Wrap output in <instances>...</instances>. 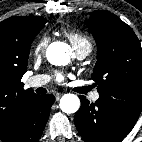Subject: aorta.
Masks as SVG:
<instances>
[{"mask_svg":"<svg viewBox=\"0 0 142 142\" xmlns=\"http://www.w3.org/2000/svg\"><path fill=\"white\" fill-rule=\"evenodd\" d=\"M46 56L53 65H66L71 58V48L66 43L55 42L48 47ZM59 106L64 113H75L80 107V99L75 94H65L60 99Z\"/></svg>","mask_w":142,"mask_h":142,"instance_id":"aorta-1","label":"aorta"}]
</instances>
